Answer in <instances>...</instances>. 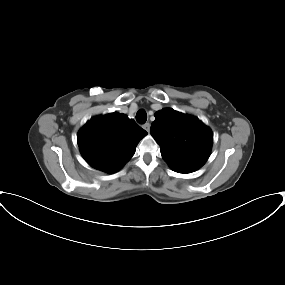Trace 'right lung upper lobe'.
Segmentation results:
<instances>
[{"label":"right lung upper lobe","instance_id":"right-lung-upper-lobe-1","mask_svg":"<svg viewBox=\"0 0 285 285\" xmlns=\"http://www.w3.org/2000/svg\"><path fill=\"white\" fill-rule=\"evenodd\" d=\"M147 134L125 114L110 113L88 121L78 132V145L86 162L106 173L120 170Z\"/></svg>","mask_w":285,"mask_h":285}]
</instances>
